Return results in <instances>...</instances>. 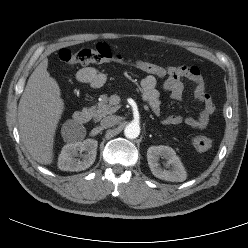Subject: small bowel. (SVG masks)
I'll list each match as a JSON object with an SVG mask.
<instances>
[{
	"label": "small bowel",
	"mask_w": 248,
	"mask_h": 248,
	"mask_svg": "<svg viewBox=\"0 0 248 248\" xmlns=\"http://www.w3.org/2000/svg\"><path fill=\"white\" fill-rule=\"evenodd\" d=\"M76 78L82 84L91 88H100L106 82V76L93 67L80 69ZM164 90L167 91L173 100H181L184 93L185 81L193 85V95L196 101L202 105L198 117H184L170 115L162 119L164 125L185 124L193 129L202 130L207 127L210 117L215 114L216 108L210 95L205 89V83L200 70L196 66H166ZM157 80L155 75L147 74L141 81L143 98L156 114H161V99L156 89Z\"/></svg>",
	"instance_id": "obj_1"
}]
</instances>
